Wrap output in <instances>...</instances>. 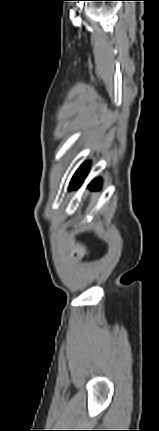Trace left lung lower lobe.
Here are the masks:
<instances>
[{
    "label": "left lung lower lobe",
    "mask_w": 159,
    "mask_h": 431,
    "mask_svg": "<svg viewBox=\"0 0 159 431\" xmlns=\"http://www.w3.org/2000/svg\"><path fill=\"white\" fill-rule=\"evenodd\" d=\"M89 171V165L88 164H84L82 165L74 174L71 182H70V189H76L78 188L83 180L85 179V177L87 176ZM101 186V182L100 179L94 180L91 182L90 184V188L91 189H100Z\"/></svg>",
    "instance_id": "0a47b994"
}]
</instances>
